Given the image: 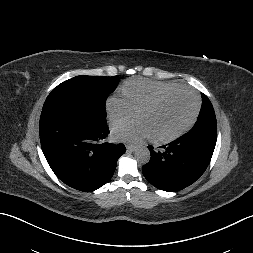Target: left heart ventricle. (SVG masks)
Here are the masks:
<instances>
[{
	"mask_svg": "<svg viewBox=\"0 0 253 253\" xmlns=\"http://www.w3.org/2000/svg\"><path fill=\"white\" fill-rule=\"evenodd\" d=\"M196 106L193 95L187 91L175 92L154 107L140 112L137 117L150 128L152 137H165L183 127Z\"/></svg>",
	"mask_w": 253,
	"mask_h": 253,
	"instance_id": "obj_1",
	"label": "left heart ventricle"
}]
</instances>
